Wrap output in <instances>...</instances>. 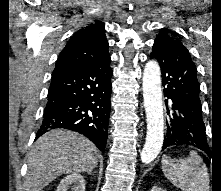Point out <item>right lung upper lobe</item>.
<instances>
[{"label":"right lung upper lobe","instance_id":"obj_1","mask_svg":"<svg viewBox=\"0 0 221 191\" xmlns=\"http://www.w3.org/2000/svg\"><path fill=\"white\" fill-rule=\"evenodd\" d=\"M104 26L102 21L95 20L78 30L60 53L53 75L110 62Z\"/></svg>","mask_w":221,"mask_h":191}]
</instances>
